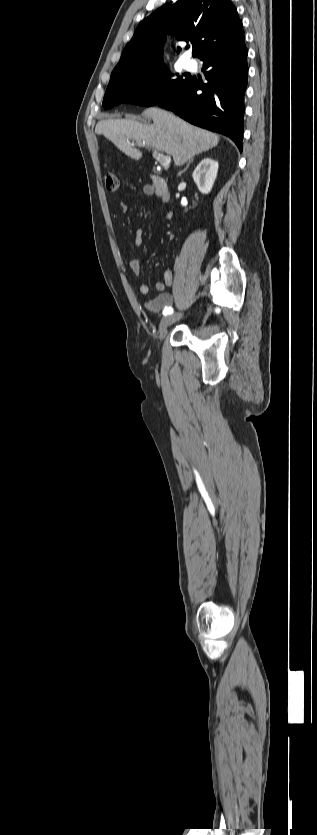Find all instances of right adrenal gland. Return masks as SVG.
Wrapping results in <instances>:
<instances>
[{"mask_svg": "<svg viewBox=\"0 0 317 835\" xmlns=\"http://www.w3.org/2000/svg\"><path fill=\"white\" fill-rule=\"evenodd\" d=\"M193 160H194V158H191V159L189 160V162L187 163V165H186L185 169H184V170H182V171H180V172L178 173V176H181V174H183V173H184V172H185V171L189 168V166H190V164L193 162Z\"/></svg>", "mask_w": 317, "mask_h": 835, "instance_id": "right-adrenal-gland-1", "label": "right adrenal gland"}]
</instances>
